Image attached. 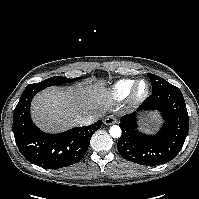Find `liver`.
<instances>
[{
    "instance_id": "obj_1",
    "label": "liver",
    "mask_w": 199,
    "mask_h": 199,
    "mask_svg": "<svg viewBox=\"0 0 199 199\" xmlns=\"http://www.w3.org/2000/svg\"><path fill=\"white\" fill-rule=\"evenodd\" d=\"M103 83L79 84L63 90L50 87L38 93L32 102V118L43 131L55 133L78 126L79 119L87 115L104 113L102 107Z\"/></svg>"
}]
</instances>
